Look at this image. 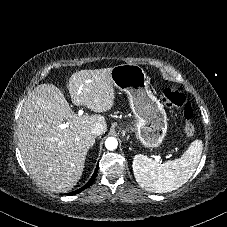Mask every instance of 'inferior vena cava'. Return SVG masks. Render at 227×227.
<instances>
[{"mask_svg":"<svg viewBox=\"0 0 227 227\" xmlns=\"http://www.w3.org/2000/svg\"><path fill=\"white\" fill-rule=\"evenodd\" d=\"M105 131L106 127L100 123H96L91 129L92 134L95 136L101 135L105 133Z\"/></svg>","mask_w":227,"mask_h":227,"instance_id":"obj_1","label":"inferior vena cava"}]
</instances>
